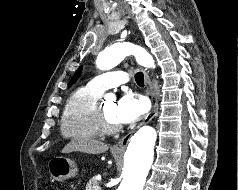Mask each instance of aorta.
Returning a JSON list of instances; mask_svg holds the SVG:
<instances>
[{
  "instance_id": "1",
  "label": "aorta",
  "mask_w": 238,
  "mask_h": 190,
  "mask_svg": "<svg viewBox=\"0 0 238 190\" xmlns=\"http://www.w3.org/2000/svg\"><path fill=\"white\" fill-rule=\"evenodd\" d=\"M131 54L135 55L140 65L155 67L154 60L149 53L128 42H117L101 51L96 65L100 70H110ZM106 99L112 101L115 96L108 94ZM156 139V131L150 126L141 127L132 136L124 155L123 180L117 190H143L153 162Z\"/></svg>"
}]
</instances>
